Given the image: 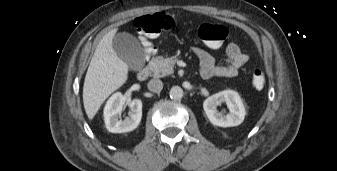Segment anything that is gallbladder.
<instances>
[{"label":"gallbladder","instance_id":"bac80fb5","mask_svg":"<svg viewBox=\"0 0 337 171\" xmlns=\"http://www.w3.org/2000/svg\"><path fill=\"white\" fill-rule=\"evenodd\" d=\"M113 48L118 57L131 69L140 70L143 67L144 51L134 36L128 33L116 34L113 38Z\"/></svg>","mask_w":337,"mask_h":171}]
</instances>
